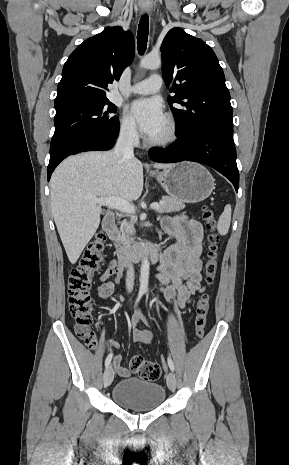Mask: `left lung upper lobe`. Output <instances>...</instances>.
Segmentation results:
<instances>
[{"label": "left lung upper lobe", "mask_w": 289, "mask_h": 465, "mask_svg": "<svg viewBox=\"0 0 289 465\" xmlns=\"http://www.w3.org/2000/svg\"><path fill=\"white\" fill-rule=\"evenodd\" d=\"M161 57L167 86L174 81L170 91L176 95L168 102L178 120L176 133L202 126L232 134L230 93L214 51L203 40L173 28L162 42Z\"/></svg>", "instance_id": "5c2ea615"}]
</instances>
